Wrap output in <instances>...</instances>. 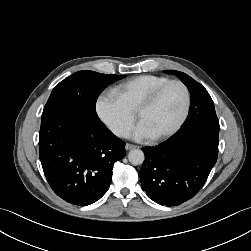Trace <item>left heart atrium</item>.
I'll return each instance as SVG.
<instances>
[{
  "instance_id": "1",
  "label": "left heart atrium",
  "mask_w": 251,
  "mask_h": 251,
  "mask_svg": "<svg viewBox=\"0 0 251 251\" xmlns=\"http://www.w3.org/2000/svg\"><path fill=\"white\" fill-rule=\"evenodd\" d=\"M132 137L135 140L141 141V140L151 139L153 136L146 128V126L143 123L139 122L132 132Z\"/></svg>"
}]
</instances>
